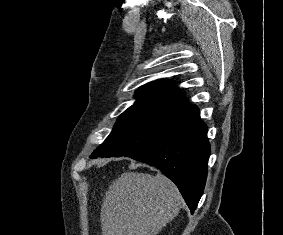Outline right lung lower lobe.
Returning <instances> with one entry per match:
<instances>
[{"label": "right lung lower lobe", "instance_id": "98d812e1", "mask_svg": "<svg viewBox=\"0 0 283 235\" xmlns=\"http://www.w3.org/2000/svg\"><path fill=\"white\" fill-rule=\"evenodd\" d=\"M164 136L127 157L156 166L178 187L191 213L203 194L210 145L196 105Z\"/></svg>", "mask_w": 283, "mask_h": 235}]
</instances>
